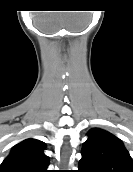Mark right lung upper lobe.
I'll return each mask as SVG.
<instances>
[{
    "label": "right lung upper lobe",
    "instance_id": "1",
    "mask_svg": "<svg viewBox=\"0 0 133 172\" xmlns=\"http://www.w3.org/2000/svg\"><path fill=\"white\" fill-rule=\"evenodd\" d=\"M45 144L37 139H26L15 145L5 158L0 172H49V158Z\"/></svg>",
    "mask_w": 133,
    "mask_h": 172
}]
</instances>
